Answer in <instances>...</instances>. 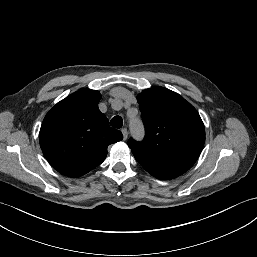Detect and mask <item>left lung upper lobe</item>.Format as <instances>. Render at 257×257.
<instances>
[{"mask_svg": "<svg viewBox=\"0 0 257 257\" xmlns=\"http://www.w3.org/2000/svg\"><path fill=\"white\" fill-rule=\"evenodd\" d=\"M146 135L128 141L135 159L145 170H189L205 142V129L196 109L181 95L153 87L137 96Z\"/></svg>", "mask_w": 257, "mask_h": 257, "instance_id": "left-lung-upper-lobe-1", "label": "left lung upper lobe"}]
</instances>
